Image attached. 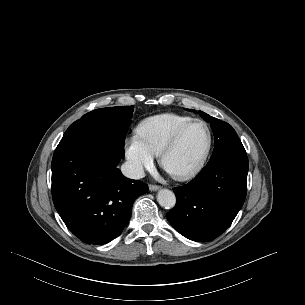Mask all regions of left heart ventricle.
<instances>
[{"mask_svg":"<svg viewBox=\"0 0 305 305\" xmlns=\"http://www.w3.org/2000/svg\"><path fill=\"white\" fill-rule=\"evenodd\" d=\"M208 140L206 128L202 124H193L183 134L177 148L167 158V168L171 173H182L201 158Z\"/></svg>","mask_w":305,"mask_h":305,"instance_id":"left-heart-ventricle-1","label":"left heart ventricle"}]
</instances>
